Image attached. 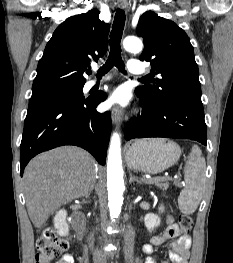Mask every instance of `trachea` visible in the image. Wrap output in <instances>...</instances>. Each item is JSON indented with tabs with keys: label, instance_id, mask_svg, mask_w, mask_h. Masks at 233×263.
<instances>
[{
	"label": "trachea",
	"instance_id": "obj_1",
	"mask_svg": "<svg viewBox=\"0 0 233 263\" xmlns=\"http://www.w3.org/2000/svg\"><path fill=\"white\" fill-rule=\"evenodd\" d=\"M125 25V12L122 9H117L112 31L110 33V54L106 63L99 69L97 77L100 78L106 74L113 66L117 67L118 70L124 74L125 65L121 57V46L120 42L122 39L123 29ZM91 71H89V74ZM142 81H148L150 78L144 77Z\"/></svg>",
	"mask_w": 233,
	"mask_h": 263
}]
</instances>
